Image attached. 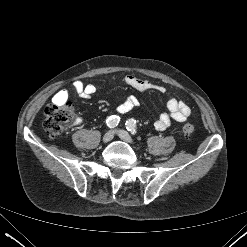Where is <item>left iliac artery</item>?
<instances>
[{
  "mask_svg": "<svg viewBox=\"0 0 247 247\" xmlns=\"http://www.w3.org/2000/svg\"><path fill=\"white\" fill-rule=\"evenodd\" d=\"M135 120L134 119H128L127 121H126V128H127V130L128 131H130L131 132V134H133V135H135L136 133H137V131H136V124H135Z\"/></svg>",
  "mask_w": 247,
  "mask_h": 247,
  "instance_id": "44dca946",
  "label": "left iliac artery"
}]
</instances>
